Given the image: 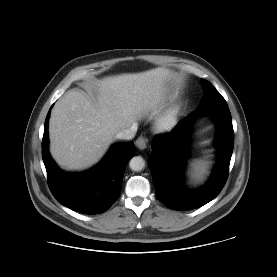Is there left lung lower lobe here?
<instances>
[{
  "label": "left lung lower lobe",
  "mask_w": 277,
  "mask_h": 277,
  "mask_svg": "<svg viewBox=\"0 0 277 277\" xmlns=\"http://www.w3.org/2000/svg\"><path fill=\"white\" fill-rule=\"evenodd\" d=\"M203 114L211 115L218 127L215 139L218 161L205 186L187 191L183 187V180L188 133L191 123ZM233 145L232 118L226 102L195 110L181 120L172 132L155 136L148 163L158 198L174 210L196 209L213 200L226 182Z\"/></svg>",
  "instance_id": "0a47b994"
}]
</instances>
